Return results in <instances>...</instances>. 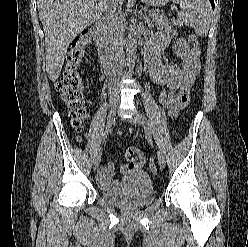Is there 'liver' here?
Masks as SVG:
<instances>
[{
    "label": "liver",
    "mask_w": 248,
    "mask_h": 247,
    "mask_svg": "<svg viewBox=\"0 0 248 247\" xmlns=\"http://www.w3.org/2000/svg\"><path fill=\"white\" fill-rule=\"evenodd\" d=\"M106 1L38 0L39 18L45 33L46 72L52 82L61 73L70 43L82 30L101 19Z\"/></svg>",
    "instance_id": "obj_1"
}]
</instances>
